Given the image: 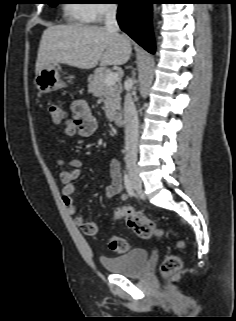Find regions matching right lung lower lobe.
<instances>
[{
    "label": "right lung lower lobe",
    "instance_id": "98d812e1",
    "mask_svg": "<svg viewBox=\"0 0 236 321\" xmlns=\"http://www.w3.org/2000/svg\"><path fill=\"white\" fill-rule=\"evenodd\" d=\"M120 28L150 53L155 44L152 33V4L155 0H115Z\"/></svg>",
    "mask_w": 236,
    "mask_h": 321
}]
</instances>
